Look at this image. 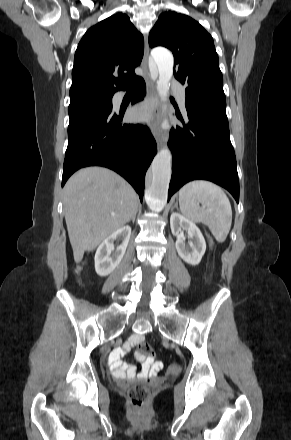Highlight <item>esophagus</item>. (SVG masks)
Returning <instances> with one entry per match:
<instances>
[{"label":"esophagus","mask_w":291,"mask_h":440,"mask_svg":"<svg viewBox=\"0 0 291 440\" xmlns=\"http://www.w3.org/2000/svg\"><path fill=\"white\" fill-rule=\"evenodd\" d=\"M148 58H149V46L147 42V38L145 40V47H144V63H145V71H144V79L147 86V94L149 98H155L156 97V89L153 81L150 78V74L148 71ZM152 133L153 136L156 139L158 147H161L163 145L162 141V131L159 126V120H158V112L156 109H154L153 112V119H152Z\"/></svg>","instance_id":"34e87169"}]
</instances>
